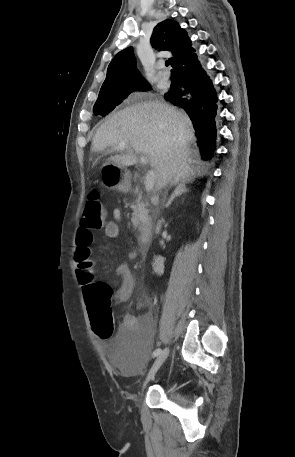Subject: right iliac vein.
<instances>
[{
  "mask_svg": "<svg viewBox=\"0 0 295 457\" xmlns=\"http://www.w3.org/2000/svg\"><path fill=\"white\" fill-rule=\"evenodd\" d=\"M169 355V349L168 348H165L160 354L159 356L156 358V360L154 361L152 367L150 368L147 376H146V379L143 383V386L142 388L144 389L145 386L148 384V382L154 377V375L156 374V372L158 371V369L161 367V365L165 362V360L167 359Z\"/></svg>",
  "mask_w": 295,
  "mask_h": 457,
  "instance_id": "right-iliac-vein-1",
  "label": "right iliac vein"
}]
</instances>
